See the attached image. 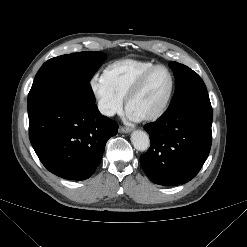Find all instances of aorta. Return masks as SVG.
Wrapping results in <instances>:
<instances>
[{"mask_svg":"<svg viewBox=\"0 0 247 247\" xmlns=\"http://www.w3.org/2000/svg\"><path fill=\"white\" fill-rule=\"evenodd\" d=\"M131 143L138 151H146L150 146L149 135L141 130L133 131L131 134Z\"/></svg>","mask_w":247,"mask_h":247,"instance_id":"762f6f07","label":"aorta"}]
</instances>
